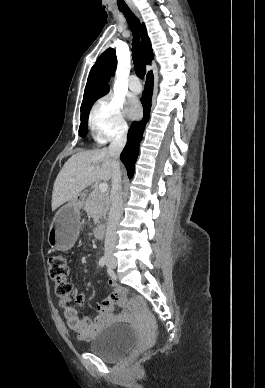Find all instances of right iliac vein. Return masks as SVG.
I'll return each instance as SVG.
<instances>
[{"mask_svg":"<svg viewBox=\"0 0 265 388\" xmlns=\"http://www.w3.org/2000/svg\"><path fill=\"white\" fill-rule=\"evenodd\" d=\"M108 263L110 267L115 268L116 267V261L114 259H108Z\"/></svg>","mask_w":265,"mask_h":388,"instance_id":"63e3f726","label":"right iliac vein"}]
</instances>
